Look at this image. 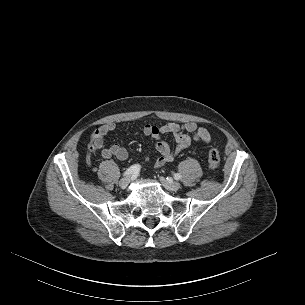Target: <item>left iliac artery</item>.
<instances>
[{
  "label": "left iliac artery",
  "mask_w": 305,
  "mask_h": 305,
  "mask_svg": "<svg viewBox=\"0 0 305 305\" xmlns=\"http://www.w3.org/2000/svg\"><path fill=\"white\" fill-rule=\"evenodd\" d=\"M174 178H175L176 180H179V179L181 178V175H180L179 173H176V174L174 175Z\"/></svg>",
  "instance_id": "44dca946"
}]
</instances>
